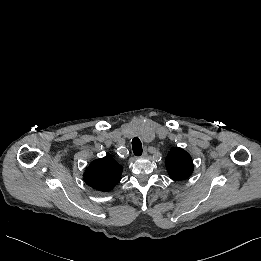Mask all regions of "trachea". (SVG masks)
Returning <instances> with one entry per match:
<instances>
[{
	"instance_id": "1",
	"label": "trachea",
	"mask_w": 261,
	"mask_h": 261,
	"mask_svg": "<svg viewBox=\"0 0 261 261\" xmlns=\"http://www.w3.org/2000/svg\"><path fill=\"white\" fill-rule=\"evenodd\" d=\"M132 149L135 156H141L143 153L142 143L138 137L132 140Z\"/></svg>"
}]
</instances>
